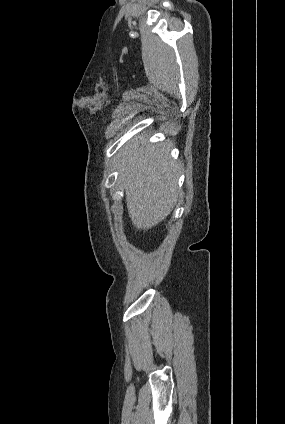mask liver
Segmentation results:
<instances>
[{
	"label": "liver",
	"mask_w": 285,
	"mask_h": 424,
	"mask_svg": "<svg viewBox=\"0 0 285 424\" xmlns=\"http://www.w3.org/2000/svg\"><path fill=\"white\" fill-rule=\"evenodd\" d=\"M171 148L170 142L147 145L143 137L137 136L118 153V180L137 230L156 226L177 202L179 170L170 157Z\"/></svg>",
	"instance_id": "6515ba94"
}]
</instances>
